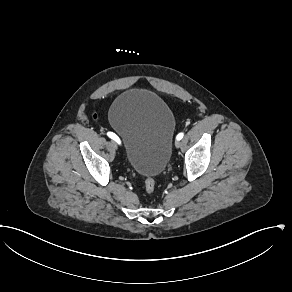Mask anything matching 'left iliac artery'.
<instances>
[{
  "label": "left iliac artery",
  "mask_w": 292,
  "mask_h": 292,
  "mask_svg": "<svg viewBox=\"0 0 292 292\" xmlns=\"http://www.w3.org/2000/svg\"><path fill=\"white\" fill-rule=\"evenodd\" d=\"M183 136H184V133L181 132V133H179V134L176 136V139H177V140H181V139L183 138Z\"/></svg>",
  "instance_id": "1"
}]
</instances>
